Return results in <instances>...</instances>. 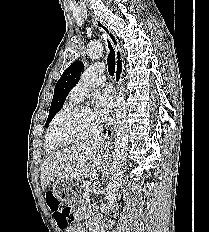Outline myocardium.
I'll use <instances>...</instances> for the list:
<instances>
[{"mask_svg": "<svg viewBox=\"0 0 209 232\" xmlns=\"http://www.w3.org/2000/svg\"><path fill=\"white\" fill-rule=\"evenodd\" d=\"M86 108L87 107L84 105H76L73 108L66 111L55 124L50 126L49 131L51 134V139L54 143H57L60 145H67V144H72L75 142L92 139L100 135L102 131V127L100 125L97 128V130H95L94 132L90 134H86V135H81V136L62 135L57 132V128L59 125L64 124L70 121L71 119L77 117Z\"/></svg>", "mask_w": 209, "mask_h": 232, "instance_id": "1", "label": "myocardium"}]
</instances>
